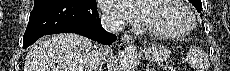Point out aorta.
I'll use <instances>...</instances> for the list:
<instances>
[{"instance_id":"1","label":"aorta","mask_w":230,"mask_h":71,"mask_svg":"<svg viewBox=\"0 0 230 71\" xmlns=\"http://www.w3.org/2000/svg\"><path fill=\"white\" fill-rule=\"evenodd\" d=\"M139 64V57L135 46H128L123 51L120 60L118 71H135Z\"/></svg>"}]
</instances>
